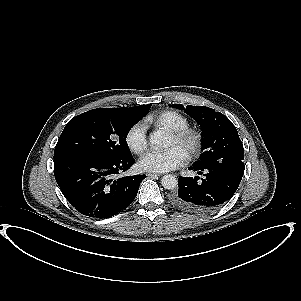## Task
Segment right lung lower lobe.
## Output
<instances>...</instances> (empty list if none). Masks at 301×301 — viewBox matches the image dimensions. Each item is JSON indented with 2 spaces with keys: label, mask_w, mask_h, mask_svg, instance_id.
Listing matches in <instances>:
<instances>
[{
  "label": "right lung lower lobe",
  "mask_w": 301,
  "mask_h": 301,
  "mask_svg": "<svg viewBox=\"0 0 301 301\" xmlns=\"http://www.w3.org/2000/svg\"><path fill=\"white\" fill-rule=\"evenodd\" d=\"M132 156L74 155L54 161V175L65 198L82 214L106 218L128 207L146 175L110 179L128 170Z\"/></svg>",
  "instance_id": "98d812e1"
}]
</instances>
